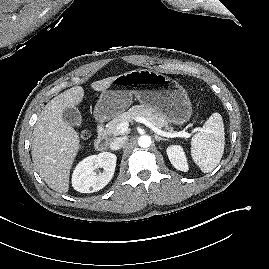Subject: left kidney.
Returning <instances> with one entry per match:
<instances>
[{"instance_id": "5707ae66", "label": "left kidney", "mask_w": 269, "mask_h": 269, "mask_svg": "<svg viewBox=\"0 0 269 269\" xmlns=\"http://www.w3.org/2000/svg\"><path fill=\"white\" fill-rule=\"evenodd\" d=\"M167 155L171 164L178 170H188L187 159L181 146L172 145L167 148Z\"/></svg>"}]
</instances>
